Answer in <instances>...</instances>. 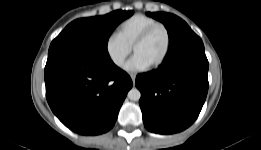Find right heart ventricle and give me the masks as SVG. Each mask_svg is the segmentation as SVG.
I'll list each match as a JSON object with an SVG mask.
<instances>
[{"instance_id": "right-heart-ventricle-1", "label": "right heart ventricle", "mask_w": 261, "mask_h": 150, "mask_svg": "<svg viewBox=\"0 0 261 150\" xmlns=\"http://www.w3.org/2000/svg\"><path fill=\"white\" fill-rule=\"evenodd\" d=\"M159 23L145 14H134L122 21L116 30V35L128 46L132 47L138 36L151 25Z\"/></svg>"}]
</instances>
